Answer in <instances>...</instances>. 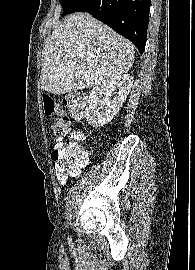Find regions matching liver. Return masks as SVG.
Segmentation results:
<instances>
[{
    "instance_id": "6515ba94",
    "label": "liver",
    "mask_w": 195,
    "mask_h": 270,
    "mask_svg": "<svg viewBox=\"0 0 195 270\" xmlns=\"http://www.w3.org/2000/svg\"><path fill=\"white\" fill-rule=\"evenodd\" d=\"M133 62L130 41L88 13H73L47 40L41 88L61 95L95 87L127 73Z\"/></svg>"
}]
</instances>
